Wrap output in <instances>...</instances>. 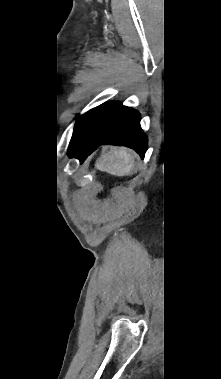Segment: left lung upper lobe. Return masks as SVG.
<instances>
[{
	"mask_svg": "<svg viewBox=\"0 0 221 379\" xmlns=\"http://www.w3.org/2000/svg\"><path fill=\"white\" fill-rule=\"evenodd\" d=\"M86 114H87V113H86ZM86 114H84L83 116H81V117L78 119V121L76 122V125H75V129H76L77 125L80 123V121L85 117Z\"/></svg>",
	"mask_w": 221,
	"mask_h": 379,
	"instance_id": "obj_1",
	"label": "left lung upper lobe"
}]
</instances>
